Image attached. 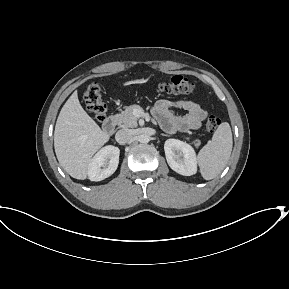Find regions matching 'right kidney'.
<instances>
[{
    "instance_id": "right-kidney-1",
    "label": "right kidney",
    "mask_w": 289,
    "mask_h": 289,
    "mask_svg": "<svg viewBox=\"0 0 289 289\" xmlns=\"http://www.w3.org/2000/svg\"><path fill=\"white\" fill-rule=\"evenodd\" d=\"M119 155L118 147L108 145L101 148L89 163V179L91 181H101L111 176L118 167Z\"/></svg>"
}]
</instances>
